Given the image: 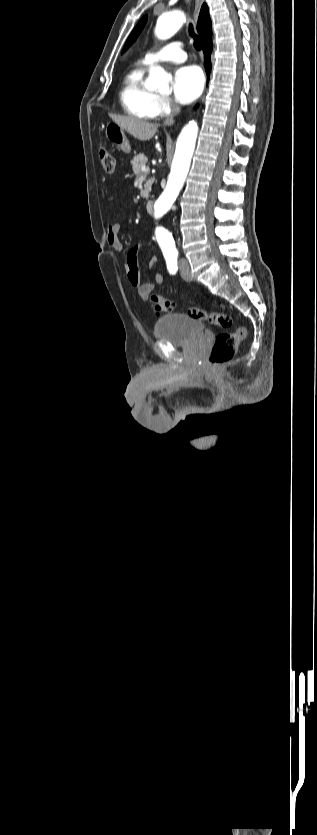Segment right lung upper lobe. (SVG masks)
I'll return each mask as SVG.
<instances>
[{"mask_svg":"<svg viewBox=\"0 0 317 835\" xmlns=\"http://www.w3.org/2000/svg\"><path fill=\"white\" fill-rule=\"evenodd\" d=\"M209 29H212V26L208 13V7L206 4H203L198 19L197 30L199 34L203 37Z\"/></svg>","mask_w":317,"mask_h":835,"instance_id":"1","label":"right lung upper lobe"}]
</instances>
